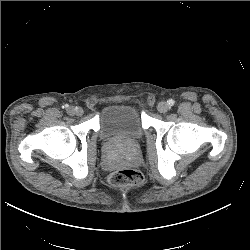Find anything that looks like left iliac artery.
Segmentation results:
<instances>
[{
    "mask_svg": "<svg viewBox=\"0 0 250 250\" xmlns=\"http://www.w3.org/2000/svg\"><path fill=\"white\" fill-rule=\"evenodd\" d=\"M167 103H168L169 106H173L174 103H175V101H174L173 99H169V100L167 101Z\"/></svg>",
    "mask_w": 250,
    "mask_h": 250,
    "instance_id": "left-iliac-artery-1",
    "label": "left iliac artery"
}]
</instances>
